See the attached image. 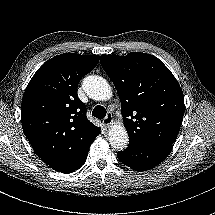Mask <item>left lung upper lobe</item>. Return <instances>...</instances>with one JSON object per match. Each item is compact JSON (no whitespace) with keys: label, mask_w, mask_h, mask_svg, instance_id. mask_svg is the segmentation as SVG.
<instances>
[{"label":"left lung upper lobe","mask_w":215,"mask_h":215,"mask_svg":"<svg viewBox=\"0 0 215 215\" xmlns=\"http://www.w3.org/2000/svg\"><path fill=\"white\" fill-rule=\"evenodd\" d=\"M101 65L114 83L129 144L172 145L184 115V97L171 71L153 55H101Z\"/></svg>","instance_id":"left-lung-upper-lobe-1"}]
</instances>
